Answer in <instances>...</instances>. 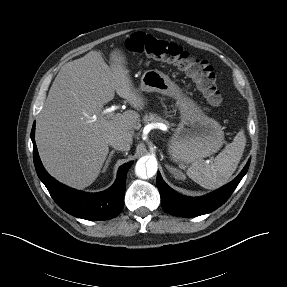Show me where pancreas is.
<instances>
[{"instance_id": "pancreas-1", "label": "pancreas", "mask_w": 287, "mask_h": 287, "mask_svg": "<svg viewBox=\"0 0 287 287\" xmlns=\"http://www.w3.org/2000/svg\"><path fill=\"white\" fill-rule=\"evenodd\" d=\"M143 120L144 122L152 121V122L165 123L168 127H170V124L168 121L162 119L160 116L153 114V113L145 114L143 117Z\"/></svg>"}]
</instances>
